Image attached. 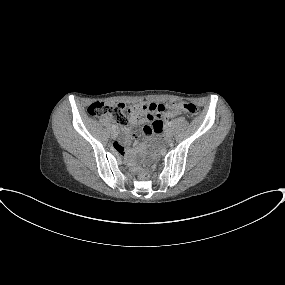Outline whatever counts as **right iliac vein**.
Wrapping results in <instances>:
<instances>
[{"instance_id":"obj_1","label":"right iliac vein","mask_w":285,"mask_h":285,"mask_svg":"<svg viewBox=\"0 0 285 285\" xmlns=\"http://www.w3.org/2000/svg\"><path fill=\"white\" fill-rule=\"evenodd\" d=\"M117 136H118L117 131L114 130V131L111 132V137H112L113 139H115Z\"/></svg>"}]
</instances>
